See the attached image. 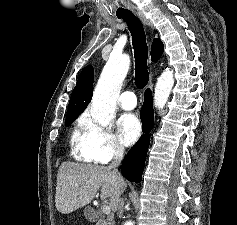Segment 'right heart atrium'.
Masks as SVG:
<instances>
[{
    "instance_id": "1",
    "label": "right heart atrium",
    "mask_w": 237,
    "mask_h": 225,
    "mask_svg": "<svg viewBox=\"0 0 237 225\" xmlns=\"http://www.w3.org/2000/svg\"><path fill=\"white\" fill-rule=\"evenodd\" d=\"M79 151L90 162L106 164L124 155V148L115 133L93 121L82 118Z\"/></svg>"
}]
</instances>
